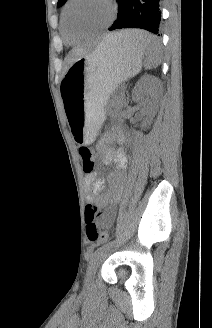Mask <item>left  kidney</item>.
Instances as JSON below:
<instances>
[{
  "instance_id": "left-kidney-1",
  "label": "left kidney",
  "mask_w": 212,
  "mask_h": 328,
  "mask_svg": "<svg viewBox=\"0 0 212 328\" xmlns=\"http://www.w3.org/2000/svg\"><path fill=\"white\" fill-rule=\"evenodd\" d=\"M160 91V81L152 75H144L134 87L132 97L135 101H139L146 94L150 99L145 101L146 120L142 123V127L151 124L153 117L158 109V97Z\"/></svg>"
}]
</instances>
